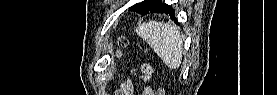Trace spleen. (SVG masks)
Masks as SVG:
<instances>
[{"mask_svg": "<svg viewBox=\"0 0 277 95\" xmlns=\"http://www.w3.org/2000/svg\"><path fill=\"white\" fill-rule=\"evenodd\" d=\"M136 33L145 40L170 69L181 65L183 39L176 26L149 21L139 24Z\"/></svg>", "mask_w": 277, "mask_h": 95, "instance_id": "3e777b00", "label": "spleen"}]
</instances>
